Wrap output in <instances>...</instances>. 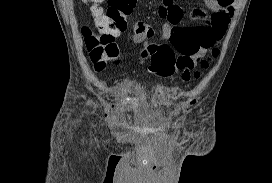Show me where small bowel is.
<instances>
[{
	"label": "small bowel",
	"instance_id": "c3829d8e",
	"mask_svg": "<svg viewBox=\"0 0 272 183\" xmlns=\"http://www.w3.org/2000/svg\"><path fill=\"white\" fill-rule=\"evenodd\" d=\"M203 1L205 8L196 7L189 13V19L198 22V25H183V9L174 0H161L157 5V12L165 21L161 38L169 41L174 48L177 70L192 69L197 60L204 57L223 38L233 16L235 0ZM132 32V40L146 46L155 34L153 27L144 21L132 22ZM120 114L121 110L115 108L107 117L116 118Z\"/></svg>",
	"mask_w": 272,
	"mask_h": 183
}]
</instances>
